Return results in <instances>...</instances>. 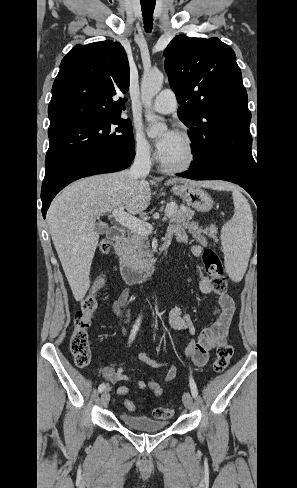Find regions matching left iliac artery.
I'll use <instances>...</instances> for the list:
<instances>
[{
  "mask_svg": "<svg viewBox=\"0 0 297 488\" xmlns=\"http://www.w3.org/2000/svg\"><path fill=\"white\" fill-rule=\"evenodd\" d=\"M190 390H191L192 396L194 398H196L198 396V390H197L196 383L192 377H190Z\"/></svg>",
  "mask_w": 297,
  "mask_h": 488,
  "instance_id": "44dca946",
  "label": "left iliac artery"
}]
</instances>
